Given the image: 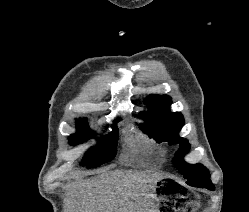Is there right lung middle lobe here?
<instances>
[{
	"label": "right lung middle lobe",
	"mask_w": 249,
	"mask_h": 212,
	"mask_svg": "<svg viewBox=\"0 0 249 212\" xmlns=\"http://www.w3.org/2000/svg\"><path fill=\"white\" fill-rule=\"evenodd\" d=\"M116 120L115 122H118ZM78 132L72 135L69 138V142L71 144H79L87 139H89L93 134L88 129L87 122L85 119H80L76 122ZM117 136H118V129L116 125H113L112 132L108 135L103 137L100 143L96 146L91 148L89 151L85 153V158H83V163L88 167H98L104 163L111 161L116 153V146H117Z\"/></svg>",
	"instance_id": "right-lung-middle-lobe-1"
}]
</instances>
